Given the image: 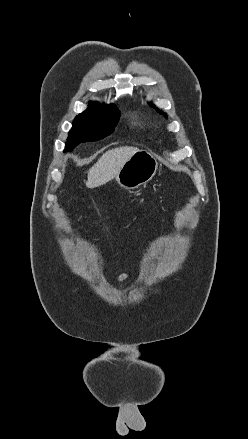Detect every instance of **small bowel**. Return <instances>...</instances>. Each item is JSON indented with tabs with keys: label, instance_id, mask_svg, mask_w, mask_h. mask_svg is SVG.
<instances>
[{
	"label": "small bowel",
	"instance_id": "c3829d8e",
	"mask_svg": "<svg viewBox=\"0 0 248 439\" xmlns=\"http://www.w3.org/2000/svg\"><path fill=\"white\" fill-rule=\"evenodd\" d=\"M128 273L127 272H122L119 276H118V278H117V283L118 284H121V283H123L127 278H128Z\"/></svg>",
	"mask_w": 248,
	"mask_h": 439
}]
</instances>
